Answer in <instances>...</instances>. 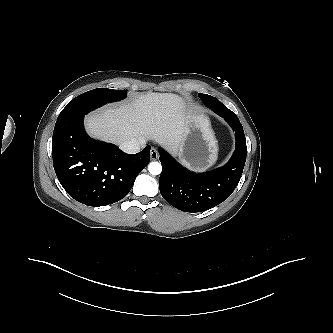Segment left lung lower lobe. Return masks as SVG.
<instances>
[{"label":"left lung lower lobe","instance_id":"obj_1","mask_svg":"<svg viewBox=\"0 0 333 333\" xmlns=\"http://www.w3.org/2000/svg\"><path fill=\"white\" fill-rule=\"evenodd\" d=\"M203 102L231 126L236 145L232 157L224 166L205 173L189 171L159 148L161 195L169 204L185 212L209 210L226 200L237 186L246 161V139L238 117L213 96Z\"/></svg>","mask_w":333,"mask_h":333}]
</instances>
